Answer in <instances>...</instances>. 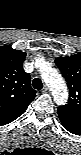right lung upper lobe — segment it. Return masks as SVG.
<instances>
[{
    "instance_id": "1",
    "label": "right lung upper lobe",
    "mask_w": 81,
    "mask_h": 155,
    "mask_svg": "<svg viewBox=\"0 0 81 155\" xmlns=\"http://www.w3.org/2000/svg\"><path fill=\"white\" fill-rule=\"evenodd\" d=\"M26 53L10 46L0 47V124L24 113L36 96L31 77L23 70Z\"/></svg>"
}]
</instances>
